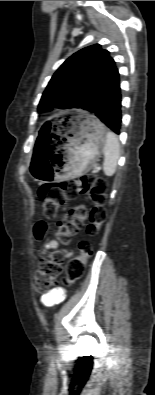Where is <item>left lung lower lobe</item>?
Segmentation results:
<instances>
[{
    "instance_id": "obj_1",
    "label": "left lung lower lobe",
    "mask_w": 155,
    "mask_h": 395,
    "mask_svg": "<svg viewBox=\"0 0 155 395\" xmlns=\"http://www.w3.org/2000/svg\"><path fill=\"white\" fill-rule=\"evenodd\" d=\"M121 101L119 72L115 68L80 103L79 108L94 114L107 127L119 134L122 118Z\"/></svg>"
}]
</instances>
